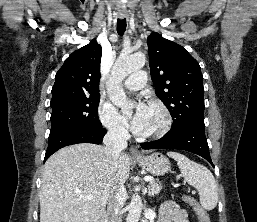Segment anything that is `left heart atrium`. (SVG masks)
Listing matches in <instances>:
<instances>
[{
    "instance_id": "39dd6f15",
    "label": "left heart atrium",
    "mask_w": 257,
    "mask_h": 222,
    "mask_svg": "<svg viewBox=\"0 0 257 222\" xmlns=\"http://www.w3.org/2000/svg\"><path fill=\"white\" fill-rule=\"evenodd\" d=\"M150 115V106L143 100H138L129 119L130 130L135 134L147 133Z\"/></svg>"
}]
</instances>
